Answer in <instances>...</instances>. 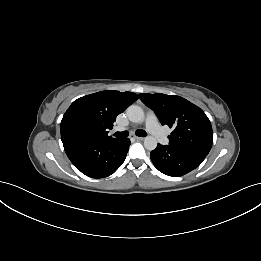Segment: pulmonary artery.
Masks as SVG:
<instances>
[{"label": "pulmonary artery", "instance_id": "e3ab8cb5", "mask_svg": "<svg viewBox=\"0 0 261 261\" xmlns=\"http://www.w3.org/2000/svg\"><path fill=\"white\" fill-rule=\"evenodd\" d=\"M146 127L159 143H161L162 145H166L168 143L167 136L160 127L157 118L153 113L147 114ZM117 130L120 131L121 129L117 128Z\"/></svg>", "mask_w": 261, "mask_h": 261}]
</instances>
